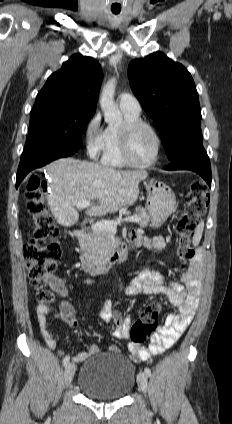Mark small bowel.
I'll return each instance as SVG.
<instances>
[{
    "instance_id": "c3829d8e",
    "label": "small bowel",
    "mask_w": 232,
    "mask_h": 424,
    "mask_svg": "<svg viewBox=\"0 0 232 424\" xmlns=\"http://www.w3.org/2000/svg\"><path fill=\"white\" fill-rule=\"evenodd\" d=\"M132 236L137 239L139 246H144L148 249L165 250L168 247V242L162 237L148 239L142 237L138 232H133ZM202 273V257L201 255H197L192 260L190 267L180 275V283L185 286V290L177 281L165 279L161 274L154 271L142 272L126 288L125 294L128 297H133L140 293L161 295L178 308V312L167 315L164 324L153 334L148 346L129 342V355L134 362L147 361L153 356L165 352L173 347L184 333L193 320L198 308ZM52 288L60 295L64 296L67 294L65 284L59 279H55ZM48 312V307L44 304H38L35 307V314L41 334L46 344L50 348H54L57 340L48 326ZM100 315L104 322L112 324V335L115 338L128 340L131 325V319L129 317L124 318L119 311L112 310L109 303L104 306ZM60 317L71 327L77 325L74 308L67 302L62 304ZM109 350L112 353L120 352V348L117 345H111ZM99 352V346L97 344H91L88 352L78 353L74 357V360L81 362L89 355H96Z\"/></svg>"
}]
</instances>
